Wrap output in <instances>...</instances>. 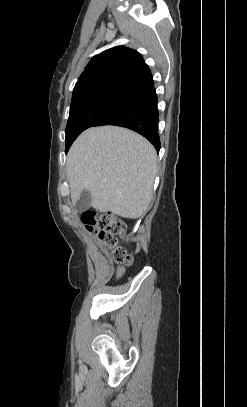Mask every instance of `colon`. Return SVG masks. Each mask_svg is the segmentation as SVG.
<instances>
[{
  "instance_id": "obj_1",
  "label": "colon",
  "mask_w": 247,
  "mask_h": 407,
  "mask_svg": "<svg viewBox=\"0 0 247 407\" xmlns=\"http://www.w3.org/2000/svg\"><path fill=\"white\" fill-rule=\"evenodd\" d=\"M88 231L94 233L106 246H114L118 237L125 233V223L109 212L86 211L81 215ZM113 258L117 263L129 265L132 255L122 248H115Z\"/></svg>"
}]
</instances>
